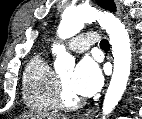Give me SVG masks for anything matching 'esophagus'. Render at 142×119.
I'll return each instance as SVG.
<instances>
[{
	"instance_id": "obj_1",
	"label": "esophagus",
	"mask_w": 142,
	"mask_h": 119,
	"mask_svg": "<svg viewBox=\"0 0 142 119\" xmlns=\"http://www.w3.org/2000/svg\"><path fill=\"white\" fill-rule=\"evenodd\" d=\"M88 117L87 116H83V117H81V119H87Z\"/></svg>"
}]
</instances>
